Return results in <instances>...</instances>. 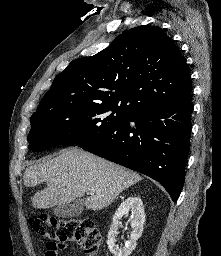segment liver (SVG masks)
I'll list each match as a JSON object with an SVG mask.
<instances>
[{
    "label": "liver",
    "mask_w": 221,
    "mask_h": 256,
    "mask_svg": "<svg viewBox=\"0 0 221 256\" xmlns=\"http://www.w3.org/2000/svg\"><path fill=\"white\" fill-rule=\"evenodd\" d=\"M141 179L138 173L78 148L65 149L54 158L31 165L23 177L26 187L47 185L31 198L34 208L70 204L86 192H94L83 200L85 207L94 211L108 207Z\"/></svg>",
    "instance_id": "6515ba94"
}]
</instances>
